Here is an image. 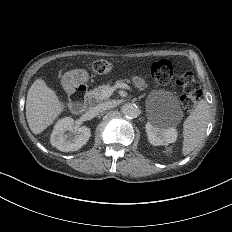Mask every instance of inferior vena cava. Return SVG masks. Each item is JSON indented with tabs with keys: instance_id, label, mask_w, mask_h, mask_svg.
<instances>
[{
	"instance_id": "inferior-vena-cava-1",
	"label": "inferior vena cava",
	"mask_w": 232,
	"mask_h": 232,
	"mask_svg": "<svg viewBox=\"0 0 232 232\" xmlns=\"http://www.w3.org/2000/svg\"><path fill=\"white\" fill-rule=\"evenodd\" d=\"M115 106H116L115 102L106 101V102H102V103L98 104L95 109L97 112L100 113V112H104L106 110L113 109Z\"/></svg>"
}]
</instances>
